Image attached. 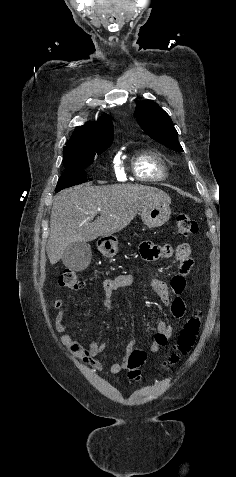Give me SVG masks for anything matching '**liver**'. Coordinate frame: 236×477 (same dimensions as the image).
Here are the masks:
<instances>
[{"label":"liver","instance_id":"6515ba94","mask_svg":"<svg viewBox=\"0 0 236 477\" xmlns=\"http://www.w3.org/2000/svg\"><path fill=\"white\" fill-rule=\"evenodd\" d=\"M152 202L170 203L171 199L158 188L138 184L81 185L60 192L54 197L46 247L50 263L59 262L73 242H88L119 232ZM91 213L100 214L92 223Z\"/></svg>","mask_w":236,"mask_h":477}]
</instances>
